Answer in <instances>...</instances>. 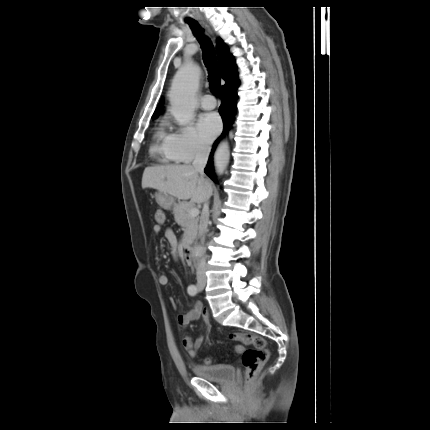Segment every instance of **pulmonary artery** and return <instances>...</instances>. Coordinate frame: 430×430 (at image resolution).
Instances as JSON below:
<instances>
[{"label":"pulmonary artery","mask_w":430,"mask_h":430,"mask_svg":"<svg viewBox=\"0 0 430 430\" xmlns=\"http://www.w3.org/2000/svg\"><path fill=\"white\" fill-rule=\"evenodd\" d=\"M201 107L205 110H211L216 107V100L211 95H205L201 101Z\"/></svg>","instance_id":"obj_1"}]
</instances>
